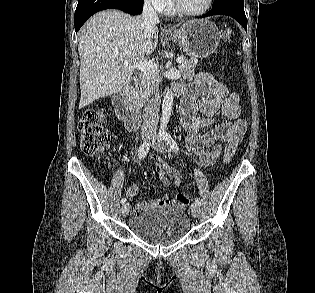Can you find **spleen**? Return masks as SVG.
I'll use <instances>...</instances> for the list:
<instances>
[{
    "instance_id": "obj_1",
    "label": "spleen",
    "mask_w": 315,
    "mask_h": 293,
    "mask_svg": "<svg viewBox=\"0 0 315 293\" xmlns=\"http://www.w3.org/2000/svg\"><path fill=\"white\" fill-rule=\"evenodd\" d=\"M237 54L240 55L241 53H240V52H237Z\"/></svg>"
}]
</instances>
